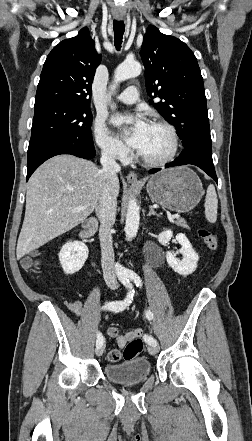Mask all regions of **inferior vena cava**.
I'll return each mask as SVG.
<instances>
[{"label":"inferior vena cava","mask_w":252,"mask_h":441,"mask_svg":"<svg viewBox=\"0 0 252 441\" xmlns=\"http://www.w3.org/2000/svg\"><path fill=\"white\" fill-rule=\"evenodd\" d=\"M100 162L103 166L101 170L103 183L97 207V217L100 221L101 264L106 284L110 288L116 289L118 283L115 275L111 229L115 223L117 199L112 194V183L117 179V173L121 170V167L115 161L113 152L107 148L102 149Z\"/></svg>","instance_id":"obj_1"}]
</instances>
